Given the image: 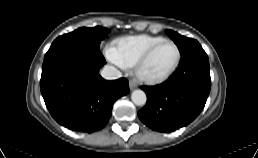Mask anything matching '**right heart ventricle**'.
Here are the masks:
<instances>
[{"mask_svg": "<svg viewBox=\"0 0 258 158\" xmlns=\"http://www.w3.org/2000/svg\"><path fill=\"white\" fill-rule=\"evenodd\" d=\"M162 39V37L146 35L127 37L119 40L113 49L120 62L126 67H132L138 63L149 48Z\"/></svg>", "mask_w": 258, "mask_h": 158, "instance_id": "e07e8e85", "label": "right heart ventricle"}]
</instances>
